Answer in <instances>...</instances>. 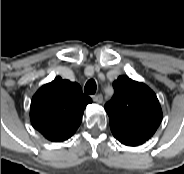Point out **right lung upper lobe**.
<instances>
[{
  "instance_id": "1",
  "label": "right lung upper lobe",
  "mask_w": 184,
  "mask_h": 174,
  "mask_svg": "<svg viewBox=\"0 0 184 174\" xmlns=\"http://www.w3.org/2000/svg\"><path fill=\"white\" fill-rule=\"evenodd\" d=\"M91 102L79 84L58 76L33 96L31 123L50 141L67 140L80 126L84 109Z\"/></svg>"
}]
</instances>
